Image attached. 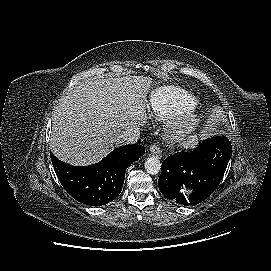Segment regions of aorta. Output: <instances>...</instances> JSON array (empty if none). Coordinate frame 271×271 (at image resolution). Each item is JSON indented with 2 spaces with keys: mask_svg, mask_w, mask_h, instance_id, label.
Segmentation results:
<instances>
[{
  "mask_svg": "<svg viewBox=\"0 0 271 271\" xmlns=\"http://www.w3.org/2000/svg\"><path fill=\"white\" fill-rule=\"evenodd\" d=\"M145 170L151 175H156L161 170V163L157 157H149L146 159Z\"/></svg>",
  "mask_w": 271,
  "mask_h": 271,
  "instance_id": "obj_1",
  "label": "aorta"
}]
</instances>
